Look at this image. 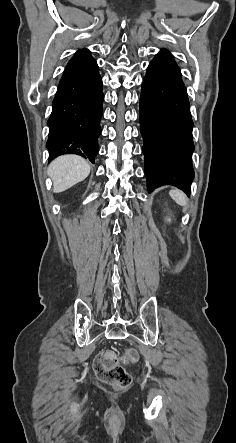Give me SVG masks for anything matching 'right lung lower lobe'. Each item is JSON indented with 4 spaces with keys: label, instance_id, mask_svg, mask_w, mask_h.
I'll use <instances>...</instances> for the list:
<instances>
[{
    "label": "right lung lower lobe",
    "instance_id": "98d812e1",
    "mask_svg": "<svg viewBox=\"0 0 236 443\" xmlns=\"http://www.w3.org/2000/svg\"><path fill=\"white\" fill-rule=\"evenodd\" d=\"M103 100L96 61L72 57L60 80L47 122L49 161L63 154H77L94 163Z\"/></svg>",
    "mask_w": 236,
    "mask_h": 443
}]
</instances>
